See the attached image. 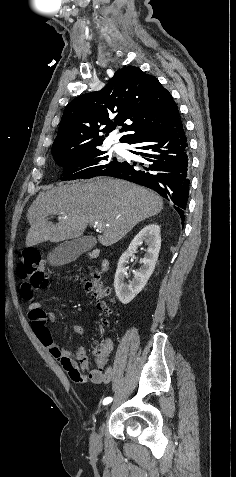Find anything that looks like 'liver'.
<instances>
[{"instance_id":"6515ba94","label":"liver","mask_w":236,"mask_h":477,"mask_svg":"<svg viewBox=\"0 0 236 477\" xmlns=\"http://www.w3.org/2000/svg\"><path fill=\"white\" fill-rule=\"evenodd\" d=\"M162 209L159 195L124 180L96 178L59 185L39 193L30 206L26 246L76 239L95 223L103 225L98 241L111 246ZM51 215H58L57 224L48 221Z\"/></svg>"}]
</instances>
